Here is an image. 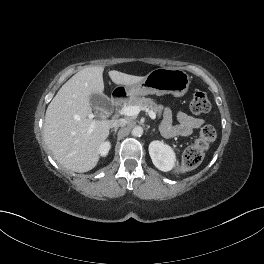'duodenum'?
Returning a JSON list of instances; mask_svg holds the SVG:
<instances>
[{"mask_svg": "<svg viewBox=\"0 0 264 264\" xmlns=\"http://www.w3.org/2000/svg\"><path fill=\"white\" fill-rule=\"evenodd\" d=\"M125 97L124 92H117L112 96L111 102L113 105H118Z\"/></svg>", "mask_w": 264, "mask_h": 264, "instance_id": "410a0bca", "label": "duodenum"}]
</instances>
